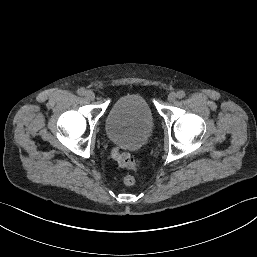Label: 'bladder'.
<instances>
[{
  "label": "bladder",
  "mask_w": 257,
  "mask_h": 257,
  "mask_svg": "<svg viewBox=\"0 0 257 257\" xmlns=\"http://www.w3.org/2000/svg\"><path fill=\"white\" fill-rule=\"evenodd\" d=\"M107 137L117 146L136 150L154 135V118L147 100L140 94L126 93L112 104L105 120Z\"/></svg>",
  "instance_id": "1"
}]
</instances>
